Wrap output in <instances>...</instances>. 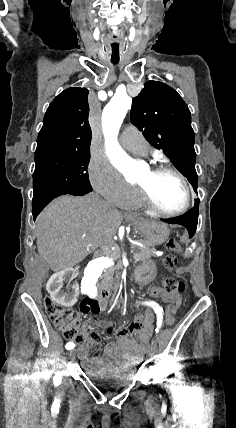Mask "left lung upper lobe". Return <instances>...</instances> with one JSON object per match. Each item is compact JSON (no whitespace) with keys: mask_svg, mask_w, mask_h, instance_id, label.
<instances>
[{"mask_svg":"<svg viewBox=\"0 0 236 428\" xmlns=\"http://www.w3.org/2000/svg\"><path fill=\"white\" fill-rule=\"evenodd\" d=\"M130 118L152 146L163 150L197 193L194 131L181 96L162 82L148 81L133 99Z\"/></svg>","mask_w":236,"mask_h":428,"instance_id":"1","label":"left lung upper lobe"}]
</instances>
